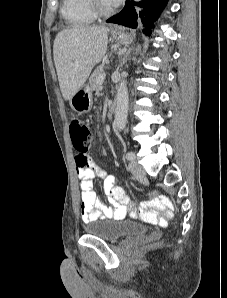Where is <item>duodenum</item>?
<instances>
[{"mask_svg": "<svg viewBox=\"0 0 227 298\" xmlns=\"http://www.w3.org/2000/svg\"><path fill=\"white\" fill-rule=\"evenodd\" d=\"M116 108H117L116 102L115 101H111L109 103V114L110 115H113L116 112Z\"/></svg>", "mask_w": 227, "mask_h": 298, "instance_id": "1", "label": "duodenum"}]
</instances>
